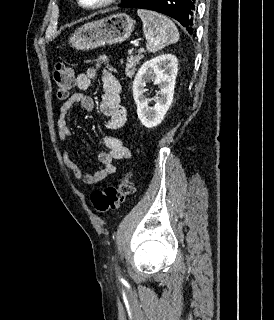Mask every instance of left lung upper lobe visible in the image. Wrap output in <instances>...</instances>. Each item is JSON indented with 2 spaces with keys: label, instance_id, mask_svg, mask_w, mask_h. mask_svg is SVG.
Returning <instances> with one entry per match:
<instances>
[{
  "label": "left lung upper lobe",
  "instance_id": "1",
  "mask_svg": "<svg viewBox=\"0 0 274 320\" xmlns=\"http://www.w3.org/2000/svg\"><path fill=\"white\" fill-rule=\"evenodd\" d=\"M126 1H127V0H123V2H122L121 4H124ZM121 4H120V5H121Z\"/></svg>",
  "mask_w": 274,
  "mask_h": 320
}]
</instances>
